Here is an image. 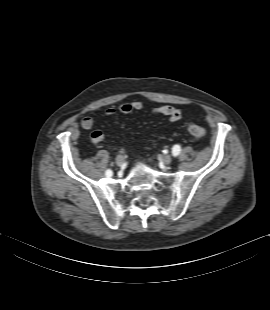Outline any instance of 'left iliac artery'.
<instances>
[{"instance_id":"obj_1","label":"left iliac artery","mask_w":270,"mask_h":310,"mask_svg":"<svg viewBox=\"0 0 270 310\" xmlns=\"http://www.w3.org/2000/svg\"><path fill=\"white\" fill-rule=\"evenodd\" d=\"M180 151H181L180 146H179V145H175V146L173 147V149H172V154H173V156L176 157V156L180 153Z\"/></svg>"}]
</instances>
